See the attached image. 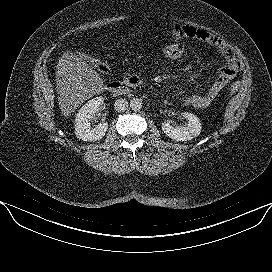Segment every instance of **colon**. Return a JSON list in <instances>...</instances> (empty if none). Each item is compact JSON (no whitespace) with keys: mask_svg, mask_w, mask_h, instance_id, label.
I'll return each instance as SVG.
<instances>
[{"mask_svg":"<svg viewBox=\"0 0 272 272\" xmlns=\"http://www.w3.org/2000/svg\"><path fill=\"white\" fill-rule=\"evenodd\" d=\"M162 55L170 61H180L187 57L188 50L185 45L180 43L177 40L167 42L161 47ZM85 58H89L87 55H84ZM98 69L102 71H107L108 66L103 62L94 63ZM240 89V83L234 82L229 87V93L234 94Z\"/></svg>","mask_w":272,"mask_h":272,"instance_id":"1","label":"colon"}]
</instances>
